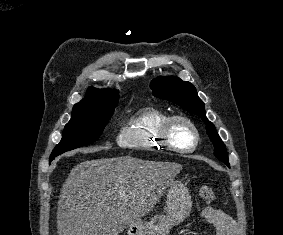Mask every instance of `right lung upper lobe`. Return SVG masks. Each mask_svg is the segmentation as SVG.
Wrapping results in <instances>:
<instances>
[{
    "mask_svg": "<svg viewBox=\"0 0 283 235\" xmlns=\"http://www.w3.org/2000/svg\"><path fill=\"white\" fill-rule=\"evenodd\" d=\"M118 102V95L112 94L111 90H99L90 87L87 91L86 97L75 105H101Z\"/></svg>",
    "mask_w": 283,
    "mask_h": 235,
    "instance_id": "right-lung-upper-lobe-1",
    "label": "right lung upper lobe"
}]
</instances>
